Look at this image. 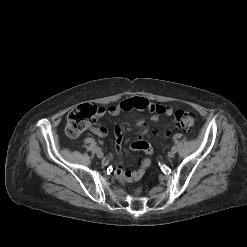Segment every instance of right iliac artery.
I'll use <instances>...</instances> for the list:
<instances>
[{"label": "right iliac artery", "mask_w": 247, "mask_h": 247, "mask_svg": "<svg viewBox=\"0 0 247 247\" xmlns=\"http://www.w3.org/2000/svg\"><path fill=\"white\" fill-rule=\"evenodd\" d=\"M95 150L98 151V150H101L99 147H95Z\"/></svg>", "instance_id": "82829eb1"}]
</instances>
